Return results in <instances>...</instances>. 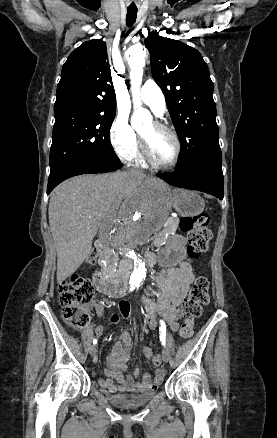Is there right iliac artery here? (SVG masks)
Instances as JSON below:
<instances>
[{
    "mask_svg": "<svg viewBox=\"0 0 277 438\" xmlns=\"http://www.w3.org/2000/svg\"><path fill=\"white\" fill-rule=\"evenodd\" d=\"M96 343H97V340H96V339H94V340H93V344L95 345Z\"/></svg>",
    "mask_w": 277,
    "mask_h": 438,
    "instance_id": "82829eb1",
    "label": "right iliac artery"
}]
</instances>
